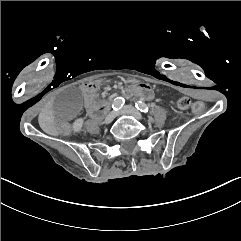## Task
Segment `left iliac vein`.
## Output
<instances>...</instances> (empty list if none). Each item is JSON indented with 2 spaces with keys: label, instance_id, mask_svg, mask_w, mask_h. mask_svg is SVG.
<instances>
[{
  "label": "left iliac vein",
  "instance_id": "left-iliac-vein-1",
  "mask_svg": "<svg viewBox=\"0 0 241 241\" xmlns=\"http://www.w3.org/2000/svg\"><path fill=\"white\" fill-rule=\"evenodd\" d=\"M118 116L120 115H133L137 120H143V116L131 105L125 106L123 109H121L118 113Z\"/></svg>",
  "mask_w": 241,
  "mask_h": 241
}]
</instances>
